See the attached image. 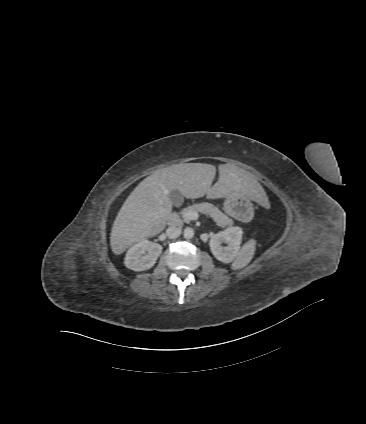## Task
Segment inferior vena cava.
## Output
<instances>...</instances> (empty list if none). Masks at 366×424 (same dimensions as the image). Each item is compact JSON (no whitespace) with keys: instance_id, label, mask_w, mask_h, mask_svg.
<instances>
[{"instance_id":"1","label":"inferior vena cava","mask_w":366,"mask_h":424,"mask_svg":"<svg viewBox=\"0 0 366 424\" xmlns=\"http://www.w3.org/2000/svg\"><path fill=\"white\" fill-rule=\"evenodd\" d=\"M181 234V228L179 227H168L166 230V235L168 236V238L170 239H175L177 237H179Z\"/></svg>"}]
</instances>
